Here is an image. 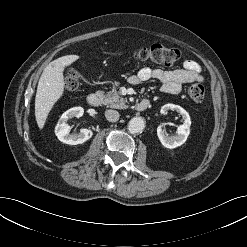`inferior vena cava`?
<instances>
[{
    "label": "inferior vena cava",
    "mask_w": 247,
    "mask_h": 247,
    "mask_svg": "<svg viewBox=\"0 0 247 247\" xmlns=\"http://www.w3.org/2000/svg\"><path fill=\"white\" fill-rule=\"evenodd\" d=\"M105 117L110 122H116L118 121L120 114L116 110L108 109L105 111Z\"/></svg>",
    "instance_id": "602c4592"
}]
</instances>
